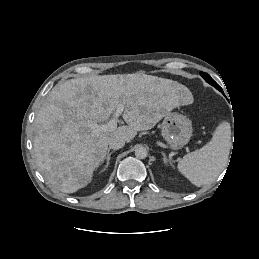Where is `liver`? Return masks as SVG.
<instances>
[{
	"instance_id": "1",
	"label": "liver",
	"mask_w": 259,
	"mask_h": 259,
	"mask_svg": "<svg viewBox=\"0 0 259 259\" xmlns=\"http://www.w3.org/2000/svg\"><path fill=\"white\" fill-rule=\"evenodd\" d=\"M183 88L176 81L138 73L77 77L56 85L34 120L35 160L46 182L63 193L85 187L111 139L131 142L138 131L193 102ZM120 104L127 125L94 133L92 126L107 121Z\"/></svg>"
}]
</instances>
